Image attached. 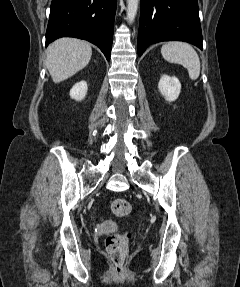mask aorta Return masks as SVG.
I'll return each instance as SVG.
<instances>
[{
	"mask_svg": "<svg viewBox=\"0 0 240 287\" xmlns=\"http://www.w3.org/2000/svg\"><path fill=\"white\" fill-rule=\"evenodd\" d=\"M139 0H127V21L129 24L134 22L137 14Z\"/></svg>",
	"mask_w": 240,
	"mask_h": 287,
	"instance_id": "aorta-1",
	"label": "aorta"
}]
</instances>
